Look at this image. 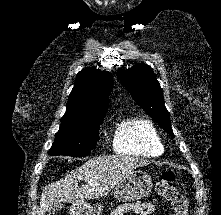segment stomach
<instances>
[{"mask_svg":"<svg viewBox=\"0 0 221 215\" xmlns=\"http://www.w3.org/2000/svg\"><path fill=\"white\" fill-rule=\"evenodd\" d=\"M151 176L142 170L130 172L114 189V196L122 202H133L146 197L152 189ZM71 215H100L102 206H91L88 203H73L70 208Z\"/></svg>","mask_w":221,"mask_h":215,"instance_id":"stomach-1","label":"stomach"}]
</instances>
